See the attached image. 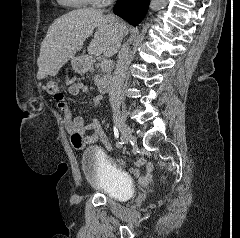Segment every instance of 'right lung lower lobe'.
Wrapping results in <instances>:
<instances>
[{
    "instance_id": "1",
    "label": "right lung lower lobe",
    "mask_w": 240,
    "mask_h": 238,
    "mask_svg": "<svg viewBox=\"0 0 240 238\" xmlns=\"http://www.w3.org/2000/svg\"><path fill=\"white\" fill-rule=\"evenodd\" d=\"M149 2L150 0H117L113 12L135 26L146 15Z\"/></svg>"
}]
</instances>
